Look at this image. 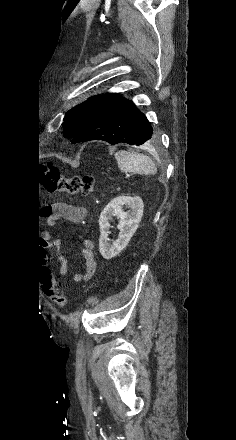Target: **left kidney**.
Listing matches in <instances>:
<instances>
[{"label":"left kidney","mask_w":236,"mask_h":440,"mask_svg":"<svg viewBox=\"0 0 236 440\" xmlns=\"http://www.w3.org/2000/svg\"><path fill=\"white\" fill-rule=\"evenodd\" d=\"M123 207L129 208L128 212ZM144 204L140 197L118 196L103 209L99 217L100 237L99 251L103 258L109 260L118 255L129 243L136 232L143 215ZM119 219L118 239L109 243L110 221L112 217Z\"/></svg>","instance_id":"5707ae66"}]
</instances>
